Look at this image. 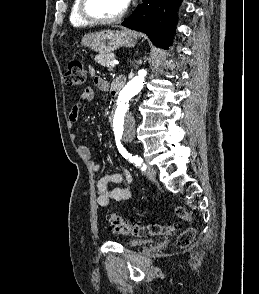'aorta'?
Listing matches in <instances>:
<instances>
[{
	"instance_id": "762f6f07",
	"label": "aorta",
	"mask_w": 259,
	"mask_h": 294,
	"mask_svg": "<svg viewBox=\"0 0 259 294\" xmlns=\"http://www.w3.org/2000/svg\"><path fill=\"white\" fill-rule=\"evenodd\" d=\"M146 70L142 69L120 91L110 114L112 137L116 141H130L135 136V119L128 111L129 101L144 85Z\"/></svg>"
}]
</instances>
